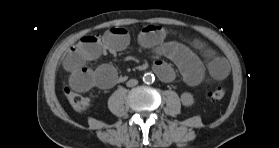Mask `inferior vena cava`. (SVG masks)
I'll use <instances>...</instances> for the list:
<instances>
[{"instance_id":"obj_1","label":"inferior vena cava","mask_w":279,"mask_h":148,"mask_svg":"<svg viewBox=\"0 0 279 148\" xmlns=\"http://www.w3.org/2000/svg\"><path fill=\"white\" fill-rule=\"evenodd\" d=\"M138 84V80L136 79H130L128 82H127V86L128 87H133V86H136Z\"/></svg>"}]
</instances>
